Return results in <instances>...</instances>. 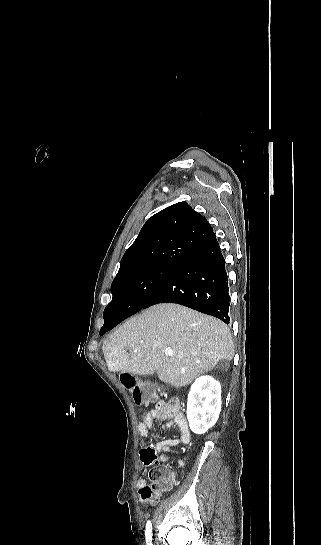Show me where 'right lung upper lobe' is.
<instances>
[{"label": "right lung upper lobe", "mask_w": 321, "mask_h": 545, "mask_svg": "<svg viewBox=\"0 0 321 545\" xmlns=\"http://www.w3.org/2000/svg\"><path fill=\"white\" fill-rule=\"evenodd\" d=\"M214 238L202 215L187 203H176L148 219L125 252L117 276L158 264L181 266Z\"/></svg>", "instance_id": "right-lung-upper-lobe-1"}]
</instances>
